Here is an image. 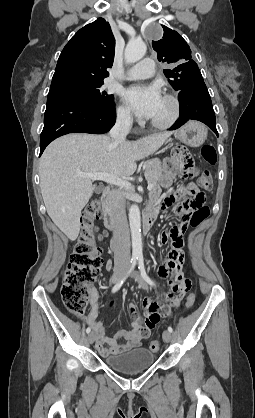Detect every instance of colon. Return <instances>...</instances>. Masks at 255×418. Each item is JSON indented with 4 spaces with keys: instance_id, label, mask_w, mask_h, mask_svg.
<instances>
[{
    "instance_id": "5ec220e1",
    "label": "colon",
    "mask_w": 255,
    "mask_h": 418,
    "mask_svg": "<svg viewBox=\"0 0 255 418\" xmlns=\"http://www.w3.org/2000/svg\"><path fill=\"white\" fill-rule=\"evenodd\" d=\"M200 155L209 165L217 161L216 150L211 145H204ZM183 175L186 179L193 176L192 163H183ZM198 187L203 190H210L213 185L212 176L208 170L202 171L197 179ZM193 197L178 205L176 213H182L183 222L179 227H196L209 216V209L205 206V195L191 186ZM102 212L100 199L92 200L84 209L82 232L70 257L68 269L63 277L61 286L62 301L67 310L75 315L81 316L87 306L90 295V285L97 279L103 260L100 241L104 235L99 232L95 221ZM195 302V295L190 293L186 299V308L189 309ZM160 348L158 340L149 344V349L157 351Z\"/></svg>"
}]
</instances>
